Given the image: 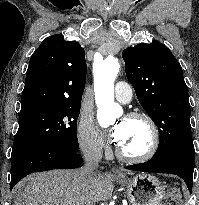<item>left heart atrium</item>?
I'll return each mask as SVG.
<instances>
[{
  "mask_svg": "<svg viewBox=\"0 0 199 205\" xmlns=\"http://www.w3.org/2000/svg\"><path fill=\"white\" fill-rule=\"evenodd\" d=\"M124 132H125V127L123 125V123H118L109 133L110 138L112 141L119 143L123 136H124Z\"/></svg>",
  "mask_w": 199,
  "mask_h": 205,
  "instance_id": "1",
  "label": "left heart atrium"
}]
</instances>
